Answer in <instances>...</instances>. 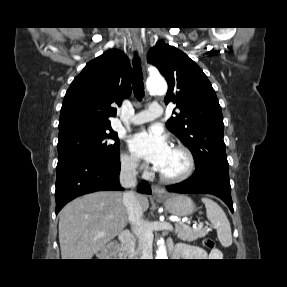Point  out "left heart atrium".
Masks as SVG:
<instances>
[{"label": "left heart atrium", "instance_id": "obj_1", "mask_svg": "<svg viewBox=\"0 0 287 287\" xmlns=\"http://www.w3.org/2000/svg\"><path fill=\"white\" fill-rule=\"evenodd\" d=\"M129 145L135 155L153 164L157 170L161 169L171 149L165 136L156 129L136 133L130 139Z\"/></svg>", "mask_w": 287, "mask_h": 287}]
</instances>
